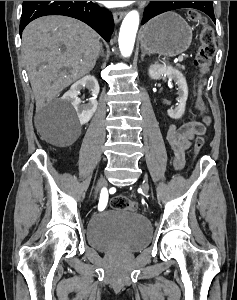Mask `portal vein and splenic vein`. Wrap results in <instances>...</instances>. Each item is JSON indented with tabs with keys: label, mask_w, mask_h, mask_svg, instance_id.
<instances>
[{
	"label": "portal vein and splenic vein",
	"mask_w": 237,
	"mask_h": 300,
	"mask_svg": "<svg viewBox=\"0 0 237 300\" xmlns=\"http://www.w3.org/2000/svg\"><path fill=\"white\" fill-rule=\"evenodd\" d=\"M179 61H180V64H183V56H179V59H178Z\"/></svg>",
	"instance_id": "18ae733b"
}]
</instances>
